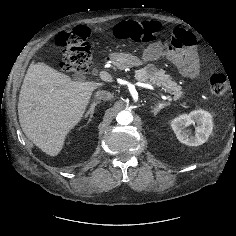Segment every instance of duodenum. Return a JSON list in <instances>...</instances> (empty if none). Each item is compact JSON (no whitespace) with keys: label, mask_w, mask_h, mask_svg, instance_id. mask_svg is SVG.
Returning a JSON list of instances; mask_svg holds the SVG:
<instances>
[{"label":"duodenum","mask_w":236,"mask_h":236,"mask_svg":"<svg viewBox=\"0 0 236 236\" xmlns=\"http://www.w3.org/2000/svg\"><path fill=\"white\" fill-rule=\"evenodd\" d=\"M104 63L110 64V63H112V59L107 58V59L104 61Z\"/></svg>","instance_id":"obj_1"}]
</instances>
